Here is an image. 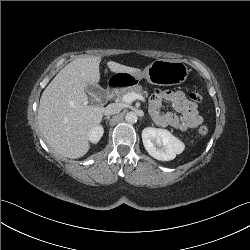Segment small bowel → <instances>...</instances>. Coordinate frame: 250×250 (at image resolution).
Wrapping results in <instances>:
<instances>
[{
    "label": "small bowel",
    "instance_id": "1",
    "mask_svg": "<svg viewBox=\"0 0 250 250\" xmlns=\"http://www.w3.org/2000/svg\"><path fill=\"white\" fill-rule=\"evenodd\" d=\"M164 102L170 103L173 111L163 112ZM150 113L158 125L171 126L183 132L197 128L203 122L197 106L182 91H156L150 100Z\"/></svg>",
    "mask_w": 250,
    "mask_h": 250
}]
</instances>
